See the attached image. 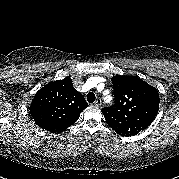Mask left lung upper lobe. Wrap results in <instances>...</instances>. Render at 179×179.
<instances>
[{
    "instance_id": "left-lung-upper-lobe-1",
    "label": "left lung upper lobe",
    "mask_w": 179,
    "mask_h": 179,
    "mask_svg": "<svg viewBox=\"0 0 179 179\" xmlns=\"http://www.w3.org/2000/svg\"><path fill=\"white\" fill-rule=\"evenodd\" d=\"M114 104L101 111L108 125L121 136H134L146 129L159 109L156 88L135 76L112 77Z\"/></svg>"
}]
</instances>
